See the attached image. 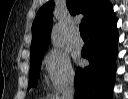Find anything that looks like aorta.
Here are the masks:
<instances>
[{"label":"aorta","mask_w":128,"mask_h":99,"mask_svg":"<svg viewBox=\"0 0 128 99\" xmlns=\"http://www.w3.org/2000/svg\"><path fill=\"white\" fill-rule=\"evenodd\" d=\"M52 44L55 48H62L64 46V40L61 35V30L57 25L53 29Z\"/></svg>","instance_id":"762f6f07"}]
</instances>
